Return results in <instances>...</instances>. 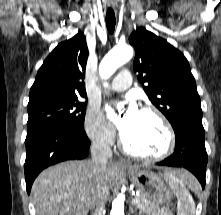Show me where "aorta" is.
I'll return each mask as SVG.
<instances>
[{
    "label": "aorta",
    "mask_w": 221,
    "mask_h": 215,
    "mask_svg": "<svg viewBox=\"0 0 221 215\" xmlns=\"http://www.w3.org/2000/svg\"><path fill=\"white\" fill-rule=\"evenodd\" d=\"M133 48L129 45H117L102 59L99 74L108 79L121 65L133 57ZM107 84H105L106 86ZM110 215H124V196L119 194L112 202Z\"/></svg>",
    "instance_id": "1"
}]
</instances>
